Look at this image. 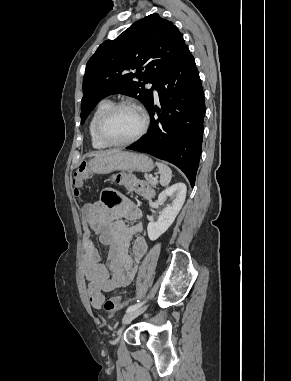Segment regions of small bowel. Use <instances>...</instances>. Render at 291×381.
Segmentation results:
<instances>
[{"mask_svg": "<svg viewBox=\"0 0 291 381\" xmlns=\"http://www.w3.org/2000/svg\"><path fill=\"white\" fill-rule=\"evenodd\" d=\"M115 199L111 192L103 200L86 204L81 208L83 228V256L81 270L88 281V297L94 308H101L104 293L130 284L136 273V263L145 255L147 243L141 235V210L128 199L110 204ZM127 221L135 222L128 226ZM108 246L105 263L101 261L98 248L91 233ZM131 247L132 255L129 253Z\"/></svg>", "mask_w": 291, "mask_h": 381, "instance_id": "1", "label": "small bowel"}]
</instances>
